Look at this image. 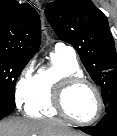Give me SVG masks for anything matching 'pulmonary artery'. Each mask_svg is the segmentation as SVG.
<instances>
[{
  "instance_id": "e3ab8cb5",
  "label": "pulmonary artery",
  "mask_w": 117,
  "mask_h": 136,
  "mask_svg": "<svg viewBox=\"0 0 117 136\" xmlns=\"http://www.w3.org/2000/svg\"><path fill=\"white\" fill-rule=\"evenodd\" d=\"M55 50L59 51V52L66 53L70 56H74V57L76 56L75 49L69 45L62 43V42H59L55 45Z\"/></svg>"
}]
</instances>
